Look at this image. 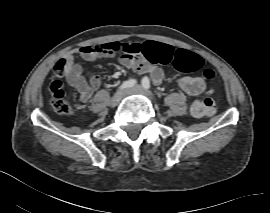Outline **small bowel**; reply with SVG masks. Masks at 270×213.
Instances as JSON below:
<instances>
[{
  "instance_id": "1",
  "label": "small bowel",
  "mask_w": 270,
  "mask_h": 213,
  "mask_svg": "<svg viewBox=\"0 0 270 213\" xmlns=\"http://www.w3.org/2000/svg\"><path fill=\"white\" fill-rule=\"evenodd\" d=\"M107 44L84 45L73 49L64 55L55 65L57 70H62L67 83L78 91L80 100L87 102L101 83V78L97 75L84 76L82 66L75 62L78 56L85 61L105 59L112 57V53L106 49ZM150 55L160 62L171 60L175 54V49L163 43L153 42L149 45ZM119 62L126 68L134 70L138 74L150 72L153 81L160 84L164 78L163 70L156 66H149L143 61H135L129 55L120 57ZM178 87L191 96L202 94L206 90L207 82L202 76H184L177 80Z\"/></svg>"
}]
</instances>
